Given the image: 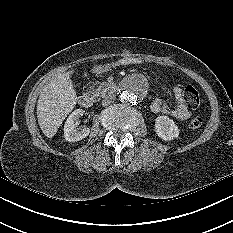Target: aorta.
Instances as JSON below:
<instances>
[{"mask_svg":"<svg viewBox=\"0 0 233 233\" xmlns=\"http://www.w3.org/2000/svg\"><path fill=\"white\" fill-rule=\"evenodd\" d=\"M147 87L140 78L127 79L120 89L119 98L124 104H135L140 102L146 95Z\"/></svg>","mask_w":233,"mask_h":233,"instance_id":"aorta-1","label":"aorta"}]
</instances>
